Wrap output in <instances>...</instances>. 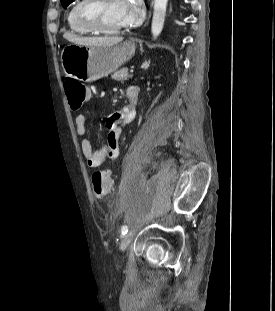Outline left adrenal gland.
<instances>
[{"label":"left adrenal gland","mask_w":275,"mask_h":311,"mask_svg":"<svg viewBox=\"0 0 275 311\" xmlns=\"http://www.w3.org/2000/svg\"><path fill=\"white\" fill-rule=\"evenodd\" d=\"M150 65V62L149 61H145L142 65V68H148Z\"/></svg>","instance_id":"a2214340"}]
</instances>
